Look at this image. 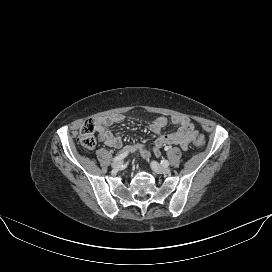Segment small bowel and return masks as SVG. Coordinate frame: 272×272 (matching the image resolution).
<instances>
[{
    "label": "small bowel",
    "instance_id": "c3829d8e",
    "mask_svg": "<svg viewBox=\"0 0 272 272\" xmlns=\"http://www.w3.org/2000/svg\"><path fill=\"white\" fill-rule=\"evenodd\" d=\"M123 118L121 114H112L98 118L96 129L99 141L112 148H121L123 146L122 139L107 130V128L121 122ZM170 121L178 127L176 131L171 133H162V130L169 123V119L164 116L154 119L150 125L151 131L156 134V139L152 146L155 156H159L161 148L166 145H179L182 149L186 150L189 143L198 135L194 125L186 116L175 115L171 117ZM134 149L138 150L144 159H150L151 155L149 151L142 144L136 145Z\"/></svg>",
    "mask_w": 272,
    "mask_h": 272
}]
</instances>
